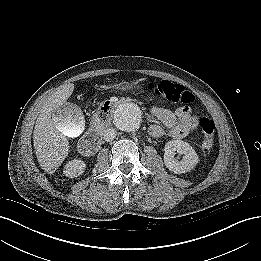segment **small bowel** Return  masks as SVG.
Returning a JSON list of instances; mask_svg holds the SVG:
<instances>
[{"instance_id": "obj_1", "label": "small bowel", "mask_w": 261, "mask_h": 261, "mask_svg": "<svg viewBox=\"0 0 261 261\" xmlns=\"http://www.w3.org/2000/svg\"><path fill=\"white\" fill-rule=\"evenodd\" d=\"M152 113L164 125V128L157 124L150 126L149 133L153 137L166 135L181 139L194 131L199 124L198 117L187 106L179 107L174 111L153 107Z\"/></svg>"}]
</instances>
